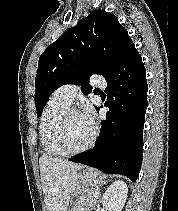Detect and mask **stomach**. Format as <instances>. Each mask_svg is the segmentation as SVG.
Wrapping results in <instances>:
<instances>
[{"instance_id":"0dacf381","label":"stomach","mask_w":178,"mask_h":211,"mask_svg":"<svg viewBox=\"0 0 178 211\" xmlns=\"http://www.w3.org/2000/svg\"><path fill=\"white\" fill-rule=\"evenodd\" d=\"M77 181L78 184L76 187V191L73 194V202L80 196L82 192L87 189H93L97 186L100 181V174L95 169L82 167L78 175Z\"/></svg>"}]
</instances>
